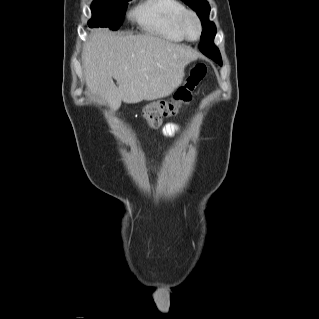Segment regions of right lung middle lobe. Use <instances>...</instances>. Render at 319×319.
I'll return each mask as SVG.
<instances>
[{"label":"right lung middle lobe","mask_w":319,"mask_h":319,"mask_svg":"<svg viewBox=\"0 0 319 319\" xmlns=\"http://www.w3.org/2000/svg\"><path fill=\"white\" fill-rule=\"evenodd\" d=\"M130 0H94L89 27H108L117 30L122 24Z\"/></svg>","instance_id":"right-lung-middle-lobe-1"}]
</instances>
